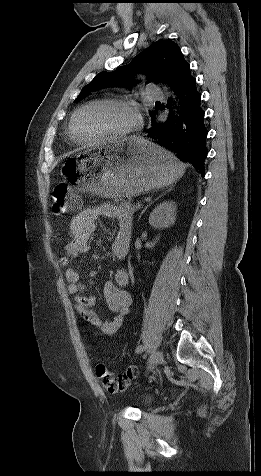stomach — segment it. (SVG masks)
<instances>
[{"label":"stomach","mask_w":261,"mask_h":476,"mask_svg":"<svg viewBox=\"0 0 261 476\" xmlns=\"http://www.w3.org/2000/svg\"><path fill=\"white\" fill-rule=\"evenodd\" d=\"M184 169L170 152L132 136L113 144H93V151L69 156L64 179L84 192L131 198L173 184L183 176Z\"/></svg>","instance_id":"stomach-1"}]
</instances>
